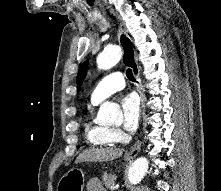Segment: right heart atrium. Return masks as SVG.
<instances>
[{
	"instance_id": "1",
	"label": "right heart atrium",
	"mask_w": 221,
	"mask_h": 191,
	"mask_svg": "<svg viewBox=\"0 0 221 191\" xmlns=\"http://www.w3.org/2000/svg\"><path fill=\"white\" fill-rule=\"evenodd\" d=\"M111 131H112V135H113L115 142H120L124 139V134L120 129L114 128V129H111Z\"/></svg>"
}]
</instances>
